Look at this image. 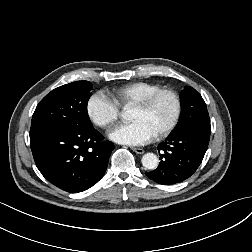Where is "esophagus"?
<instances>
[{
  "instance_id": "34e87169",
  "label": "esophagus",
  "mask_w": 252,
  "mask_h": 252,
  "mask_svg": "<svg viewBox=\"0 0 252 252\" xmlns=\"http://www.w3.org/2000/svg\"><path fill=\"white\" fill-rule=\"evenodd\" d=\"M137 154H143L144 150L142 148L132 147L131 148Z\"/></svg>"
}]
</instances>
